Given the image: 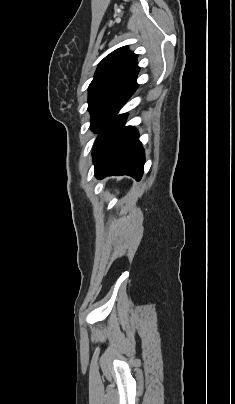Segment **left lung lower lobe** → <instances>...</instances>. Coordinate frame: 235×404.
<instances>
[{"label":"left lung lower lobe","instance_id":"1","mask_svg":"<svg viewBox=\"0 0 235 404\" xmlns=\"http://www.w3.org/2000/svg\"><path fill=\"white\" fill-rule=\"evenodd\" d=\"M120 108L99 129L93 150L95 175L102 179L125 174L139 181L145 162L144 150L138 139V131L132 126H124L126 114L116 116Z\"/></svg>","mask_w":235,"mask_h":404}]
</instances>
